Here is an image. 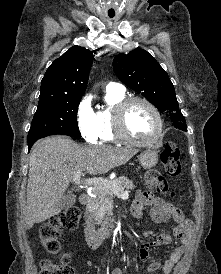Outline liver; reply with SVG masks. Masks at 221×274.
Instances as JSON below:
<instances>
[{
    "label": "liver",
    "mask_w": 221,
    "mask_h": 274,
    "mask_svg": "<svg viewBox=\"0 0 221 274\" xmlns=\"http://www.w3.org/2000/svg\"><path fill=\"white\" fill-rule=\"evenodd\" d=\"M137 152L111 146H82L66 136L39 140L29 158L26 228L60 213L58 204L75 173L105 174L127 163Z\"/></svg>",
    "instance_id": "6515ba94"
}]
</instances>
